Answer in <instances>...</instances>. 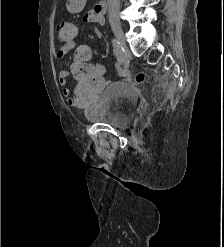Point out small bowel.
<instances>
[{"mask_svg":"<svg viewBox=\"0 0 224 247\" xmlns=\"http://www.w3.org/2000/svg\"><path fill=\"white\" fill-rule=\"evenodd\" d=\"M86 0H67V10L70 13H78L84 7ZM83 21L87 23H97L99 25L104 24V17L102 14L96 12L95 9L89 10L83 16ZM76 39L62 41L61 45L55 51L56 59H62L66 53L76 48ZM69 72L67 70H62L59 72L58 81L63 87V96L67 99L70 105H74L72 102L71 92L66 87L68 83Z\"/></svg>","mask_w":224,"mask_h":247,"instance_id":"1","label":"small bowel"}]
</instances>
